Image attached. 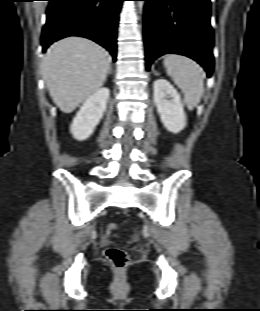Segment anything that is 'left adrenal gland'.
I'll use <instances>...</instances> for the list:
<instances>
[{
	"label": "left adrenal gland",
	"instance_id": "obj_1",
	"mask_svg": "<svg viewBox=\"0 0 260 311\" xmlns=\"http://www.w3.org/2000/svg\"><path fill=\"white\" fill-rule=\"evenodd\" d=\"M154 74L157 75L158 73H157V72H154Z\"/></svg>",
	"mask_w": 260,
	"mask_h": 311
}]
</instances>
